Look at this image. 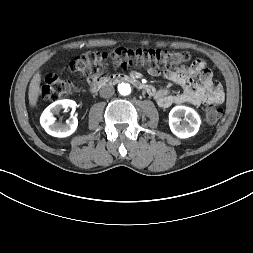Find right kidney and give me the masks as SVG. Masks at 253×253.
<instances>
[{
  "mask_svg": "<svg viewBox=\"0 0 253 253\" xmlns=\"http://www.w3.org/2000/svg\"><path fill=\"white\" fill-rule=\"evenodd\" d=\"M62 108H72L73 111L76 109V103L72 100L63 99L55 101L50 104L42 113L40 118L41 126L45 131L55 137H67L75 132L78 126L76 117L72 120H68L66 124L56 122L54 117Z\"/></svg>",
  "mask_w": 253,
  "mask_h": 253,
  "instance_id": "obj_1",
  "label": "right kidney"
}]
</instances>
